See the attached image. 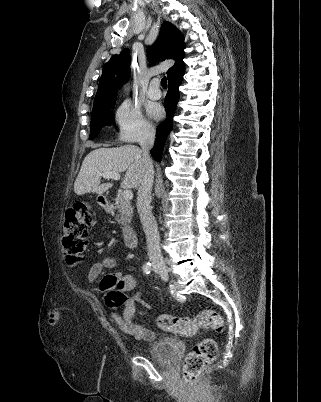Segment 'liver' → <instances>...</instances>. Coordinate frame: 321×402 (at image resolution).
<instances>
[{"label":"liver","instance_id":"1","mask_svg":"<svg viewBox=\"0 0 321 402\" xmlns=\"http://www.w3.org/2000/svg\"><path fill=\"white\" fill-rule=\"evenodd\" d=\"M121 183L124 189H136L140 186L144 175L142 150L135 145L121 147H100L91 151L84 159L80 172L74 183L77 195L96 193L102 195L113 186L112 183L101 184V176L106 172H124Z\"/></svg>","mask_w":321,"mask_h":402}]
</instances>
